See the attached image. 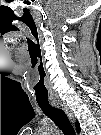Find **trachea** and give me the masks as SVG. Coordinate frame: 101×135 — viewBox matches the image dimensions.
Returning <instances> with one entry per match:
<instances>
[{
	"mask_svg": "<svg viewBox=\"0 0 101 135\" xmlns=\"http://www.w3.org/2000/svg\"><path fill=\"white\" fill-rule=\"evenodd\" d=\"M43 113L48 116L65 135H74L75 131L66 113L61 108H56L48 103H38Z\"/></svg>",
	"mask_w": 101,
	"mask_h": 135,
	"instance_id": "trachea-1",
	"label": "trachea"
}]
</instances>
